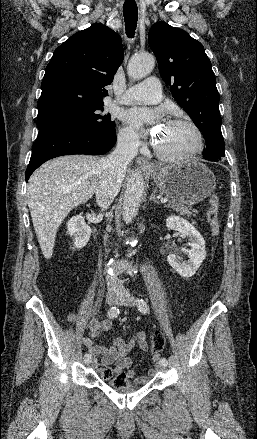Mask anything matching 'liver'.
Listing matches in <instances>:
<instances>
[{
    "label": "liver",
    "instance_id": "1",
    "mask_svg": "<svg viewBox=\"0 0 257 439\" xmlns=\"http://www.w3.org/2000/svg\"><path fill=\"white\" fill-rule=\"evenodd\" d=\"M98 157L67 155L46 162L30 177L28 206L46 259L53 254L56 233L69 212L96 192L101 166Z\"/></svg>",
    "mask_w": 257,
    "mask_h": 439
}]
</instances>
